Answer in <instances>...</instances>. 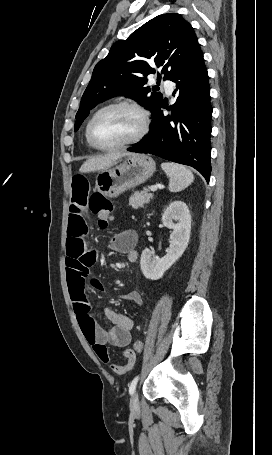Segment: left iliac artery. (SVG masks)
Here are the masks:
<instances>
[{
    "mask_svg": "<svg viewBox=\"0 0 272 455\" xmlns=\"http://www.w3.org/2000/svg\"><path fill=\"white\" fill-rule=\"evenodd\" d=\"M139 376H136L129 385V393L132 395L135 392Z\"/></svg>",
    "mask_w": 272,
    "mask_h": 455,
    "instance_id": "obj_1",
    "label": "left iliac artery"
}]
</instances>
